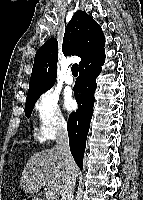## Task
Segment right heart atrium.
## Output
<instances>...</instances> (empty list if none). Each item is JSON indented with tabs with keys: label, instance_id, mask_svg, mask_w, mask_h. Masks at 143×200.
Listing matches in <instances>:
<instances>
[{
	"label": "right heart atrium",
	"instance_id": "1",
	"mask_svg": "<svg viewBox=\"0 0 143 200\" xmlns=\"http://www.w3.org/2000/svg\"><path fill=\"white\" fill-rule=\"evenodd\" d=\"M35 111L38 117V136L43 140L53 139L66 128V119L59 106V97L53 90L40 94Z\"/></svg>",
	"mask_w": 143,
	"mask_h": 200
}]
</instances>
